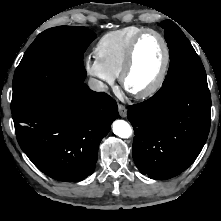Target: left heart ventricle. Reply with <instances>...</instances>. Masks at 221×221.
I'll list each match as a JSON object with an SVG mask.
<instances>
[{
	"instance_id": "b2bd125f",
	"label": "left heart ventricle",
	"mask_w": 221,
	"mask_h": 221,
	"mask_svg": "<svg viewBox=\"0 0 221 221\" xmlns=\"http://www.w3.org/2000/svg\"><path fill=\"white\" fill-rule=\"evenodd\" d=\"M164 58L163 46L153 34L145 35L137 45L133 67L126 86L131 92L148 88L157 78Z\"/></svg>"
}]
</instances>
